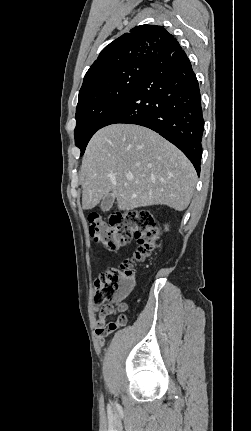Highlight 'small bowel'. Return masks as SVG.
I'll list each match as a JSON object with an SVG mask.
<instances>
[{
    "instance_id": "c3829d8e",
    "label": "small bowel",
    "mask_w": 251,
    "mask_h": 431,
    "mask_svg": "<svg viewBox=\"0 0 251 431\" xmlns=\"http://www.w3.org/2000/svg\"><path fill=\"white\" fill-rule=\"evenodd\" d=\"M95 332L96 336L100 341H103V339L110 334L112 331L109 329V324L106 323V317L110 315V313L106 312L103 308L99 310L98 308L95 309ZM103 351H106V348H103Z\"/></svg>"
}]
</instances>
